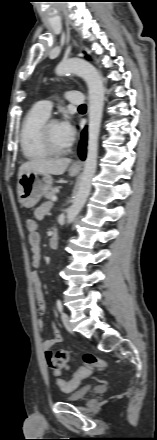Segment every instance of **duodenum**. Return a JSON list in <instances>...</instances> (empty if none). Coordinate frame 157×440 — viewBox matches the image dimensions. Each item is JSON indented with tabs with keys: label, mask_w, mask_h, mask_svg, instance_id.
Listing matches in <instances>:
<instances>
[{
	"label": "duodenum",
	"mask_w": 157,
	"mask_h": 440,
	"mask_svg": "<svg viewBox=\"0 0 157 440\" xmlns=\"http://www.w3.org/2000/svg\"><path fill=\"white\" fill-rule=\"evenodd\" d=\"M58 242H59L58 233L56 231H54L53 234L50 237L49 246L51 248H54V247H56L58 245Z\"/></svg>",
	"instance_id": "duodenum-1"
}]
</instances>
